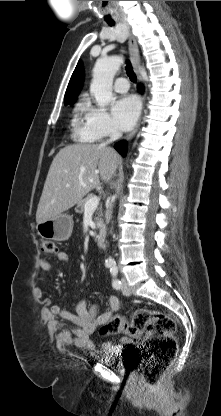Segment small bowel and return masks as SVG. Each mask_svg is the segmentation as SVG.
<instances>
[{
  "label": "small bowel",
  "mask_w": 221,
  "mask_h": 416,
  "mask_svg": "<svg viewBox=\"0 0 221 416\" xmlns=\"http://www.w3.org/2000/svg\"><path fill=\"white\" fill-rule=\"evenodd\" d=\"M56 258L61 263L69 260V255L64 251H57ZM38 265L42 272H48L53 269V265L48 261L39 258ZM39 298L42 299L41 293ZM120 309V300L116 296H110L108 299V309L98 313L97 305L89 306L87 299H81L76 306V313L73 314L68 310L53 305L44 310V318L50 328L57 331V339L60 343L74 346L78 349H90L94 346L92 336L95 331L108 321ZM72 323L71 328L63 326L62 321ZM114 344L107 342L103 348L110 351Z\"/></svg>",
  "instance_id": "1"
}]
</instances>
